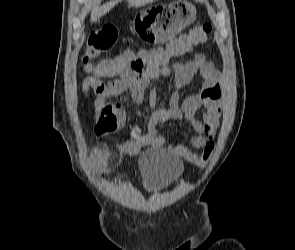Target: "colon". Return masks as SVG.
Instances as JSON below:
<instances>
[{"label":"colon","instance_id":"1","mask_svg":"<svg viewBox=\"0 0 295 250\" xmlns=\"http://www.w3.org/2000/svg\"><path fill=\"white\" fill-rule=\"evenodd\" d=\"M212 31V26L209 23H203L194 26L188 33H185L178 38L172 40L175 48L178 50H189L196 45L207 42ZM117 41V31L112 25H105L98 30L93 31L87 40L83 62L86 69L93 75L107 77L111 75L116 64L114 60L104 59L98 63H94L95 57L112 48ZM120 107L113 104L105 103L95 109L94 114V131L99 136H108L119 130L122 124L120 115ZM215 149L213 142H208L200 155H192L189 161L193 162L200 168L205 167L210 161Z\"/></svg>","mask_w":295,"mask_h":250}]
</instances>
